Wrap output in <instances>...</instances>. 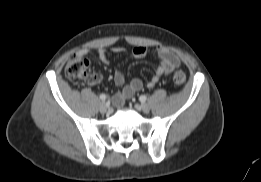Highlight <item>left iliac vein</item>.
<instances>
[{"label":"left iliac vein","instance_id":"obj_1","mask_svg":"<svg viewBox=\"0 0 261 182\" xmlns=\"http://www.w3.org/2000/svg\"><path fill=\"white\" fill-rule=\"evenodd\" d=\"M136 109L143 111L144 113H148L150 111V108L147 104L142 103V104H136L135 105Z\"/></svg>","mask_w":261,"mask_h":182}]
</instances>
